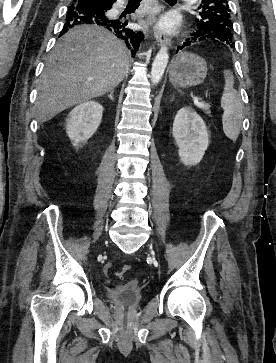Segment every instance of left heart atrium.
<instances>
[{
	"mask_svg": "<svg viewBox=\"0 0 276 363\" xmlns=\"http://www.w3.org/2000/svg\"><path fill=\"white\" fill-rule=\"evenodd\" d=\"M176 25H177V19L172 14H168L162 17L157 23V26L165 31L173 30L176 27Z\"/></svg>",
	"mask_w": 276,
	"mask_h": 363,
	"instance_id": "obj_1",
	"label": "left heart atrium"
}]
</instances>
